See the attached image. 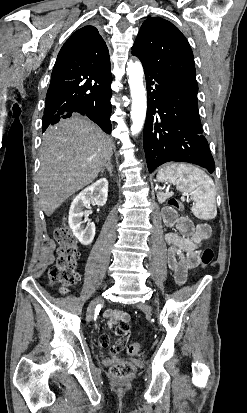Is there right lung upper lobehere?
I'll list each match as a JSON object with an SVG mask.
<instances>
[{
    "label": "right lung upper lobe",
    "mask_w": 247,
    "mask_h": 413,
    "mask_svg": "<svg viewBox=\"0 0 247 413\" xmlns=\"http://www.w3.org/2000/svg\"><path fill=\"white\" fill-rule=\"evenodd\" d=\"M110 69L109 51L94 26L74 32L61 48L53 70L70 73L103 72Z\"/></svg>",
    "instance_id": "right-lung-upper-lobe-1"
}]
</instances>
